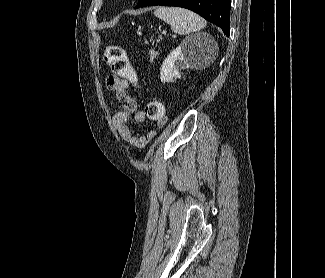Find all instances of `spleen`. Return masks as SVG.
<instances>
[{
  "instance_id": "3e777b00",
  "label": "spleen",
  "mask_w": 325,
  "mask_h": 278,
  "mask_svg": "<svg viewBox=\"0 0 325 278\" xmlns=\"http://www.w3.org/2000/svg\"><path fill=\"white\" fill-rule=\"evenodd\" d=\"M154 15L168 23L173 32L181 35L200 31L207 25L206 21L196 13L179 7H158Z\"/></svg>"
}]
</instances>
